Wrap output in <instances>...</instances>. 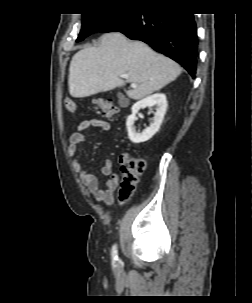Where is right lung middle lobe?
<instances>
[{
    "label": "right lung middle lobe",
    "mask_w": 252,
    "mask_h": 303,
    "mask_svg": "<svg viewBox=\"0 0 252 303\" xmlns=\"http://www.w3.org/2000/svg\"><path fill=\"white\" fill-rule=\"evenodd\" d=\"M126 12L127 10L121 12L83 14L81 32L76 41L79 42L90 34L99 32Z\"/></svg>",
    "instance_id": "dd1d6c3e"
}]
</instances>
